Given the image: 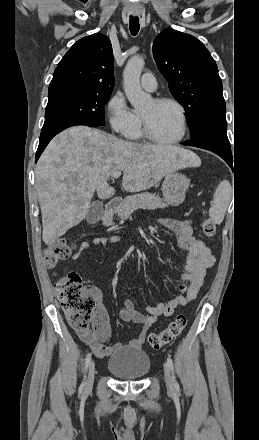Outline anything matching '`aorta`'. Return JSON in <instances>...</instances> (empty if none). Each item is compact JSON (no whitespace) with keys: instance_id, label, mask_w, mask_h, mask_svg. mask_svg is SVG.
Masks as SVG:
<instances>
[{"instance_id":"1","label":"aorta","mask_w":259,"mask_h":440,"mask_svg":"<svg viewBox=\"0 0 259 440\" xmlns=\"http://www.w3.org/2000/svg\"><path fill=\"white\" fill-rule=\"evenodd\" d=\"M145 65L144 59L138 55L132 56L123 71L124 91L136 110L147 107L152 101L151 95L145 93L140 86V76Z\"/></svg>"}]
</instances>
